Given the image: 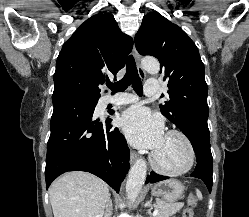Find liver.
I'll list each match as a JSON object with an SVG mask.
<instances>
[{
  "instance_id": "6515ba94",
  "label": "liver",
  "mask_w": 249,
  "mask_h": 217,
  "mask_svg": "<svg viewBox=\"0 0 249 217\" xmlns=\"http://www.w3.org/2000/svg\"><path fill=\"white\" fill-rule=\"evenodd\" d=\"M109 197L103 180L82 171L64 174L49 188L54 217H103Z\"/></svg>"
}]
</instances>
